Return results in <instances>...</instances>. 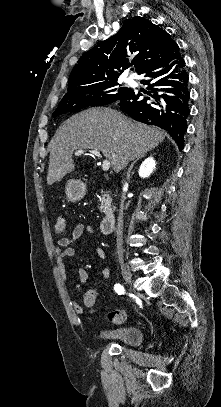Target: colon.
I'll return each instance as SVG.
<instances>
[{
	"instance_id": "colon-1",
	"label": "colon",
	"mask_w": 221,
	"mask_h": 407,
	"mask_svg": "<svg viewBox=\"0 0 221 407\" xmlns=\"http://www.w3.org/2000/svg\"><path fill=\"white\" fill-rule=\"evenodd\" d=\"M67 230V222L65 217L60 216L56 221V232L64 233ZM97 295L94 289L88 290L85 297V305L93 309L96 302ZM108 318L111 322L115 324H122L125 321V311L122 309H114L108 313Z\"/></svg>"
}]
</instances>
